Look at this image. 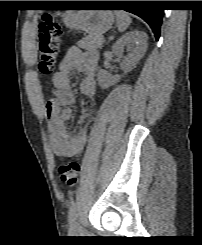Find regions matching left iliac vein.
I'll return each instance as SVG.
<instances>
[{"label":"left iliac vein","instance_id":"obj_1","mask_svg":"<svg viewBox=\"0 0 202 245\" xmlns=\"http://www.w3.org/2000/svg\"><path fill=\"white\" fill-rule=\"evenodd\" d=\"M71 231H73V232L80 231L76 221H74L73 225L71 226Z\"/></svg>","mask_w":202,"mask_h":245}]
</instances>
